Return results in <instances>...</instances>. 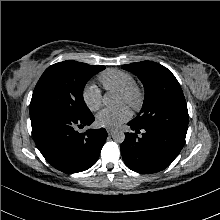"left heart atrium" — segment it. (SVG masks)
Here are the masks:
<instances>
[{
	"label": "left heart atrium",
	"instance_id": "obj_1",
	"mask_svg": "<svg viewBox=\"0 0 220 220\" xmlns=\"http://www.w3.org/2000/svg\"><path fill=\"white\" fill-rule=\"evenodd\" d=\"M130 115V109L125 105H121L114 109H103L96 115L95 121L100 127L113 129L127 121Z\"/></svg>",
	"mask_w": 220,
	"mask_h": 220
}]
</instances>
